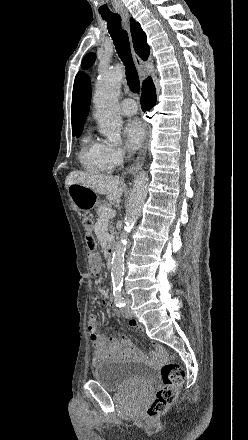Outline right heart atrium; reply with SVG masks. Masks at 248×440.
Here are the masks:
<instances>
[{
    "label": "right heart atrium",
    "mask_w": 248,
    "mask_h": 440,
    "mask_svg": "<svg viewBox=\"0 0 248 440\" xmlns=\"http://www.w3.org/2000/svg\"><path fill=\"white\" fill-rule=\"evenodd\" d=\"M103 154L106 164L113 169L119 167L124 162L126 150L119 145L103 144Z\"/></svg>",
    "instance_id": "obj_1"
}]
</instances>
